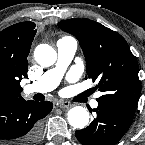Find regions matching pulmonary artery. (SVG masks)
<instances>
[{
    "mask_svg": "<svg viewBox=\"0 0 145 145\" xmlns=\"http://www.w3.org/2000/svg\"><path fill=\"white\" fill-rule=\"evenodd\" d=\"M77 50V41L66 37L57 41L58 60L54 68L48 70L37 82L24 87L25 94L45 93L53 90L60 83L67 66L72 61ZM100 93L97 94V97ZM91 106L96 108V99L91 101Z\"/></svg>",
    "mask_w": 145,
    "mask_h": 145,
    "instance_id": "obj_1",
    "label": "pulmonary artery"
}]
</instances>
